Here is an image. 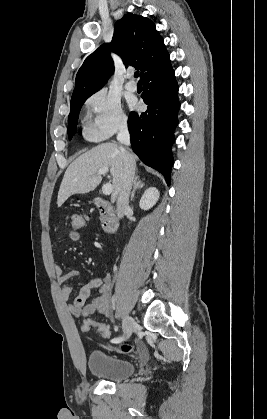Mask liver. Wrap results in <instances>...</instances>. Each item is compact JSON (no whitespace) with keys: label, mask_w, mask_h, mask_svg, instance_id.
Masks as SVG:
<instances>
[{"label":"liver","mask_w":267,"mask_h":419,"mask_svg":"<svg viewBox=\"0 0 267 419\" xmlns=\"http://www.w3.org/2000/svg\"><path fill=\"white\" fill-rule=\"evenodd\" d=\"M131 155L136 162L137 157ZM104 167L110 168L113 186L111 200L115 201L123 176V155L117 144L108 142L85 152L69 165L59 188L57 205L61 206L74 194L93 191L102 180L101 176L94 175Z\"/></svg>","instance_id":"obj_1"}]
</instances>
